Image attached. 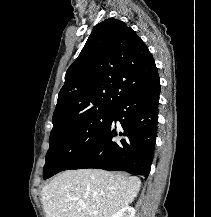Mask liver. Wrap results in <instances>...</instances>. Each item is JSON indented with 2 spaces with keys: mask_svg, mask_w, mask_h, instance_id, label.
<instances>
[{
  "mask_svg": "<svg viewBox=\"0 0 211 217\" xmlns=\"http://www.w3.org/2000/svg\"><path fill=\"white\" fill-rule=\"evenodd\" d=\"M140 186L135 176L101 169L67 170L43 187L41 200L46 217H112L133 202Z\"/></svg>",
  "mask_w": 211,
  "mask_h": 217,
  "instance_id": "obj_1",
  "label": "liver"
}]
</instances>
